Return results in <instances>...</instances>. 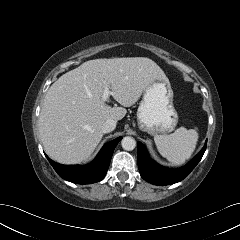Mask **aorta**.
Returning <instances> with one entry per match:
<instances>
[{
  "instance_id": "1",
  "label": "aorta",
  "mask_w": 240,
  "mask_h": 240,
  "mask_svg": "<svg viewBox=\"0 0 240 240\" xmlns=\"http://www.w3.org/2000/svg\"><path fill=\"white\" fill-rule=\"evenodd\" d=\"M122 148L126 151H132L136 147V141L133 137H124L121 141Z\"/></svg>"
}]
</instances>
